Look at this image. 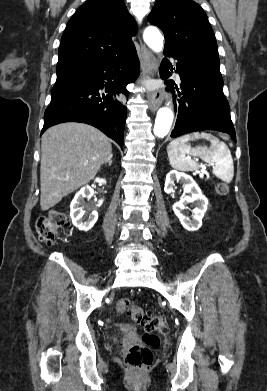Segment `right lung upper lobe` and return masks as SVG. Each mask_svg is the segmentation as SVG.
Segmentation results:
<instances>
[{
  "label": "right lung upper lobe",
  "mask_w": 267,
  "mask_h": 391,
  "mask_svg": "<svg viewBox=\"0 0 267 391\" xmlns=\"http://www.w3.org/2000/svg\"><path fill=\"white\" fill-rule=\"evenodd\" d=\"M137 27L123 0H88L69 20L58 51L57 78L135 49Z\"/></svg>",
  "instance_id": "obj_1"
}]
</instances>
